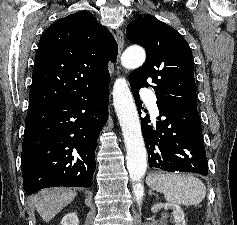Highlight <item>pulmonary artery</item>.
Masks as SVG:
<instances>
[{
	"mask_svg": "<svg viewBox=\"0 0 237 225\" xmlns=\"http://www.w3.org/2000/svg\"><path fill=\"white\" fill-rule=\"evenodd\" d=\"M142 95L145 103L148 105L150 111L154 114H158V108L156 105V97L153 93L148 91L147 89H142Z\"/></svg>",
	"mask_w": 237,
	"mask_h": 225,
	"instance_id": "1",
	"label": "pulmonary artery"
}]
</instances>
